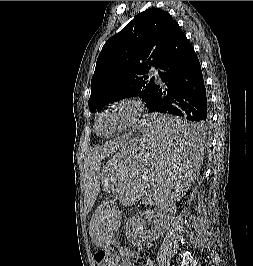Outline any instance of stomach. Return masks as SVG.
I'll return each instance as SVG.
<instances>
[{
    "label": "stomach",
    "mask_w": 253,
    "mask_h": 266,
    "mask_svg": "<svg viewBox=\"0 0 253 266\" xmlns=\"http://www.w3.org/2000/svg\"><path fill=\"white\" fill-rule=\"evenodd\" d=\"M141 137H138L136 139H133L126 143L120 152L116 155V157L111 161V163L108 165V172H109V180L111 179H117L119 180L120 177V171L124 169H118L117 168V161L118 160H125L128 156H134V150H138V146L141 144ZM112 181V180H111ZM115 185H120L119 182L115 183ZM114 186V185H113ZM120 220V219H119Z\"/></svg>",
    "instance_id": "obj_1"
}]
</instances>
